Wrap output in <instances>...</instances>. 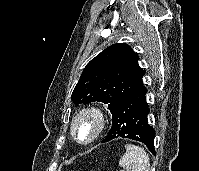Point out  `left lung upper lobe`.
<instances>
[{
  "label": "left lung upper lobe",
  "instance_id": "left-lung-upper-lobe-1",
  "mask_svg": "<svg viewBox=\"0 0 199 171\" xmlns=\"http://www.w3.org/2000/svg\"><path fill=\"white\" fill-rule=\"evenodd\" d=\"M138 60V55L125 43L107 47L86 65L71 100L76 104L103 102L113 113L142 82L144 70Z\"/></svg>",
  "mask_w": 199,
  "mask_h": 171
}]
</instances>
